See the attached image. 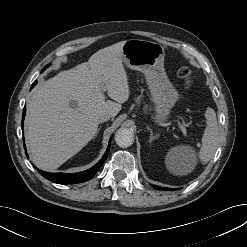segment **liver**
Returning a JSON list of instances; mask_svg holds the SVG:
<instances>
[{"mask_svg": "<svg viewBox=\"0 0 247 247\" xmlns=\"http://www.w3.org/2000/svg\"><path fill=\"white\" fill-rule=\"evenodd\" d=\"M125 41L98 50L34 90L25 118V139L33 163L53 171L78 153L96 134L98 117H115L129 98L122 64ZM104 91L114 100H105ZM75 106L71 107L70 102Z\"/></svg>", "mask_w": 247, "mask_h": 247, "instance_id": "liver-1", "label": "liver"}]
</instances>
